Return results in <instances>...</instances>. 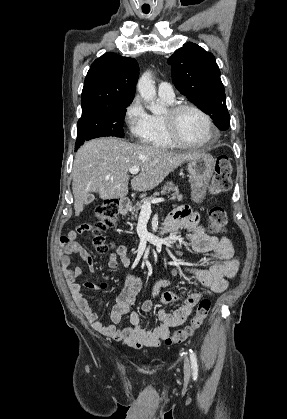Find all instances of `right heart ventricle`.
<instances>
[{
	"label": "right heart ventricle",
	"instance_id": "right-heart-ventricle-1",
	"mask_svg": "<svg viewBox=\"0 0 287 419\" xmlns=\"http://www.w3.org/2000/svg\"><path fill=\"white\" fill-rule=\"evenodd\" d=\"M166 103L173 104V100L162 98ZM141 141L153 147L175 148L178 147L167 135L162 116L150 115L149 128L147 133L141 138Z\"/></svg>",
	"mask_w": 287,
	"mask_h": 419
}]
</instances>
